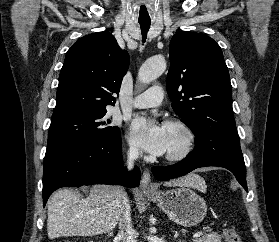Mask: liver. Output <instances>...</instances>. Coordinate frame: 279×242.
Segmentation results:
<instances>
[{"mask_svg":"<svg viewBox=\"0 0 279 242\" xmlns=\"http://www.w3.org/2000/svg\"><path fill=\"white\" fill-rule=\"evenodd\" d=\"M167 186H186L206 191L205 181L197 175L167 182ZM124 191L113 185H95L88 197L76 191L60 189L50 197L47 232L49 239L61 236H91L115 228L123 203Z\"/></svg>","mask_w":279,"mask_h":242,"instance_id":"liver-1","label":"liver"}]
</instances>
